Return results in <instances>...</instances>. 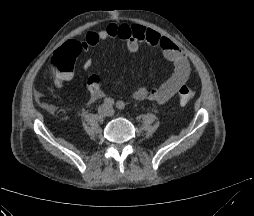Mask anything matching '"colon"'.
Wrapping results in <instances>:
<instances>
[{
  "instance_id": "colon-1",
  "label": "colon",
  "mask_w": 254,
  "mask_h": 216,
  "mask_svg": "<svg viewBox=\"0 0 254 216\" xmlns=\"http://www.w3.org/2000/svg\"><path fill=\"white\" fill-rule=\"evenodd\" d=\"M73 51L71 54L77 55L83 48L80 43H75L72 46ZM73 70V60L70 54L64 50H60L57 54L52 57L47 64L46 72L51 73H66ZM194 96V91L191 87L182 86L178 90V99L180 104H187Z\"/></svg>"
}]
</instances>
